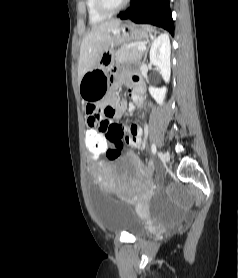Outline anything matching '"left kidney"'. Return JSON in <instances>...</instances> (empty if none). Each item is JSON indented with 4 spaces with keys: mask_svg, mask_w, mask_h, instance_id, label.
Listing matches in <instances>:
<instances>
[{
    "mask_svg": "<svg viewBox=\"0 0 238 278\" xmlns=\"http://www.w3.org/2000/svg\"><path fill=\"white\" fill-rule=\"evenodd\" d=\"M171 46L168 35L161 34L154 40L150 49V62L161 70L163 80L168 83L171 75ZM167 92L166 87H149V93L160 105L163 104Z\"/></svg>",
    "mask_w": 238,
    "mask_h": 278,
    "instance_id": "1",
    "label": "left kidney"
}]
</instances>
